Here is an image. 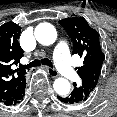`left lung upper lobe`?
Segmentation results:
<instances>
[{"label": "left lung upper lobe", "mask_w": 117, "mask_h": 117, "mask_svg": "<svg viewBox=\"0 0 117 117\" xmlns=\"http://www.w3.org/2000/svg\"><path fill=\"white\" fill-rule=\"evenodd\" d=\"M59 23L73 40V54L84 59L83 66L76 68L82 81L78 86L75 84V89L80 90L87 100L97 86L104 61L99 34L83 17L65 18Z\"/></svg>", "instance_id": "obj_1"}]
</instances>
